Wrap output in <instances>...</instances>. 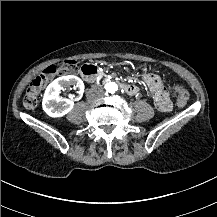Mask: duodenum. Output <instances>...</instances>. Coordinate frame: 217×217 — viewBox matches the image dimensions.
I'll return each instance as SVG.
<instances>
[{"label":"duodenum","instance_id":"duodenum-1","mask_svg":"<svg viewBox=\"0 0 217 217\" xmlns=\"http://www.w3.org/2000/svg\"><path fill=\"white\" fill-rule=\"evenodd\" d=\"M97 73V66L91 63L84 64L81 68V76L88 83H93L95 81ZM121 89L129 95H133L137 92V87L132 84H121Z\"/></svg>","mask_w":217,"mask_h":217}]
</instances>
